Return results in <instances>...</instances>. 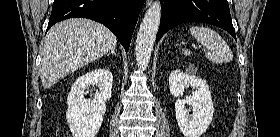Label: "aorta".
<instances>
[{
    "instance_id": "762f6f07",
    "label": "aorta",
    "mask_w": 280,
    "mask_h": 137,
    "mask_svg": "<svg viewBox=\"0 0 280 137\" xmlns=\"http://www.w3.org/2000/svg\"><path fill=\"white\" fill-rule=\"evenodd\" d=\"M161 12L160 2L155 1L147 10L138 31L135 54L137 66L142 70H145L148 67L150 61L154 41L160 24Z\"/></svg>"
}]
</instances>
